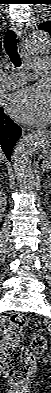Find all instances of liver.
I'll use <instances>...</instances> for the list:
<instances>
[{"instance_id": "6515ba94", "label": "liver", "mask_w": 51, "mask_h": 393, "mask_svg": "<svg viewBox=\"0 0 51 393\" xmlns=\"http://www.w3.org/2000/svg\"><path fill=\"white\" fill-rule=\"evenodd\" d=\"M3 159V153L1 152V154H0V160H2Z\"/></svg>"}]
</instances>
